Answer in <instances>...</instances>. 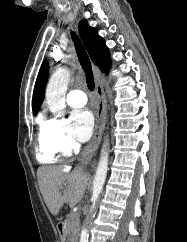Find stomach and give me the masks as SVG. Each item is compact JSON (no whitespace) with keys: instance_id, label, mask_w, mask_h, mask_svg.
I'll use <instances>...</instances> for the list:
<instances>
[{"instance_id":"1","label":"stomach","mask_w":187,"mask_h":242,"mask_svg":"<svg viewBox=\"0 0 187 242\" xmlns=\"http://www.w3.org/2000/svg\"><path fill=\"white\" fill-rule=\"evenodd\" d=\"M61 239L64 240V236L63 235H61Z\"/></svg>"}]
</instances>
